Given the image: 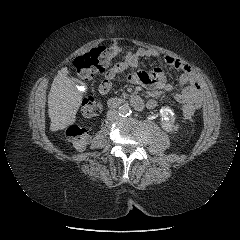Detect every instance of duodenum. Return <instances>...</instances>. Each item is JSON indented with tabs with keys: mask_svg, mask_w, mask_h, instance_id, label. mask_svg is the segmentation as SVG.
<instances>
[{
	"mask_svg": "<svg viewBox=\"0 0 240 240\" xmlns=\"http://www.w3.org/2000/svg\"><path fill=\"white\" fill-rule=\"evenodd\" d=\"M126 102L130 103L137 110H143L147 107V104L138 96H130L128 98H113L108 102V107L111 109L117 108Z\"/></svg>",
	"mask_w": 240,
	"mask_h": 240,
	"instance_id": "obj_1",
	"label": "duodenum"
}]
</instances>
